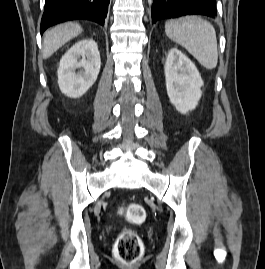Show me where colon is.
<instances>
[{"label":"colon","instance_id":"5ec220e1","mask_svg":"<svg viewBox=\"0 0 265 269\" xmlns=\"http://www.w3.org/2000/svg\"><path fill=\"white\" fill-rule=\"evenodd\" d=\"M145 209L139 203H131L125 208V216L129 222L137 224L145 219ZM142 242L132 230L125 229L116 240L114 252L116 257L126 263H136L142 255Z\"/></svg>","mask_w":265,"mask_h":269}]
</instances>
